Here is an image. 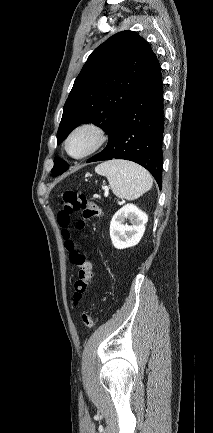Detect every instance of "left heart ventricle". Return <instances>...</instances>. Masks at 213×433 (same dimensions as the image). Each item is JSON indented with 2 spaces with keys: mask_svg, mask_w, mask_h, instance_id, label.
Wrapping results in <instances>:
<instances>
[{
  "mask_svg": "<svg viewBox=\"0 0 213 433\" xmlns=\"http://www.w3.org/2000/svg\"><path fill=\"white\" fill-rule=\"evenodd\" d=\"M93 141V135L88 132L75 135L69 143L70 153L75 156L83 154L91 147Z\"/></svg>",
  "mask_w": 213,
  "mask_h": 433,
  "instance_id": "b2bd125f",
  "label": "left heart ventricle"
}]
</instances>
